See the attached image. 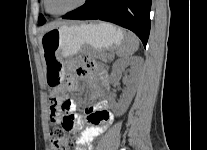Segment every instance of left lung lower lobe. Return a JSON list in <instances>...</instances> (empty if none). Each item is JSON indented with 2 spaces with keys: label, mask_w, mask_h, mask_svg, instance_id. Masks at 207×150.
Here are the masks:
<instances>
[{
  "label": "left lung lower lobe",
  "mask_w": 207,
  "mask_h": 150,
  "mask_svg": "<svg viewBox=\"0 0 207 150\" xmlns=\"http://www.w3.org/2000/svg\"><path fill=\"white\" fill-rule=\"evenodd\" d=\"M151 0H87L65 19L103 20L133 31L146 46L150 32Z\"/></svg>",
  "instance_id": "left-lung-lower-lobe-1"
}]
</instances>
